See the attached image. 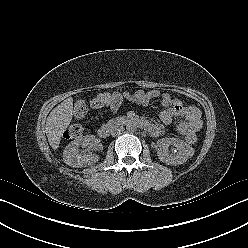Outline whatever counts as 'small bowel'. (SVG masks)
<instances>
[{
    "instance_id": "1",
    "label": "small bowel",
    "mask_w": 248,
    "mask_h": 248,
    "mask_svg": "<svg viewBox=\"0 0 248 248\" xmlns=\"http://www.w3.org/2000/svg\"><path fill=\"white\" fill-rule=\"evenodd\" d=\"M108 102L105 105L107 109L115 113L119 109L123 100L148 105L152 100L160 98L164 110L160 113V120L163 124H170L174 117H181L182 120L177 124V131L185 140L196 133L202 127V118L199 109L193 105H185L179 99L173 98L168 93H162L159 90H137L133 93L114 92L113 94L105 93ZM149 132L153 136H160L163 132L162 127L158 124L150 123Z\"/></svg>"
}]
</instances>
